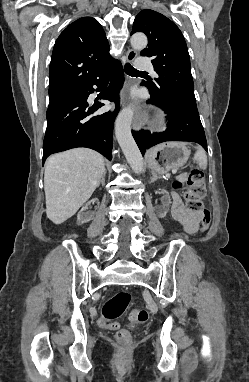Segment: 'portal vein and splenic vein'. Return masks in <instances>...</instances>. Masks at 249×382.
<instances>
[{"label":"portal vein and splenic vein","mask_w":249,"mask_h":382,"mask_svg":"<svg viewBox=\"0 0 249 382\" xmlns=\"http://www.w3.org/2000/svg\"><path fill=\"white\" fill-rule=\"evenodd\" d=\"M172 172L175 174L177 171H176V170H173Z\"/></svg>","instance_id":"18ae733b"}]
</instances>
